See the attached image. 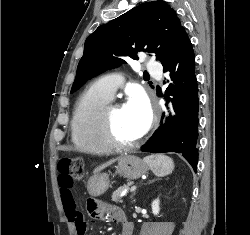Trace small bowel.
<instances>
[{
    "instance_id": "obj_1",
    "label": "small bowel",
    "mask_w": 250,
    "mask_h": 235,
    "mask_svg": "<svg viewBox=\"0 0 250 235\" xmlns=\"http://www.w3.org/2000/svg\"><path fill=\"white\" fill-rule=\"evenodd\" d=\"M60 197L64 213L68 220L75 225L78 235H85L87 223L82 216L77 212L75 201L71 192V188L60 187ZM87 209L91 216L96 219H101L104 216L110 217L113 221L122 224L121 235H132L133 226L125 219L123 212L114 205L100 204L95 201L87 204ZM79 225L82 232H79Z\"/></svg>"
}]
</instances>
